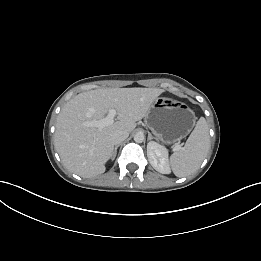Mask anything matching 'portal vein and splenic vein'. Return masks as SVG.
<instances>
[{"label":"portal vein and splenic vein","instance_id":"18ae733b","mask_svg":"<svg viewBox=\"0 0 261 261\" xmlns=\"http://www.w3.org/2000/svg\"><path fill=\"white\" fill-rule=\"evenodd\" d=\"M117 115V111L115 109H110L108 112V115L104 117L103 119L97 120V121H90V122H85V126H93L97 128H103L108 125H111L114 123V118ZM181 149V145H177L174 147L175 151H178Z\"/></svg>","mask_w":261,"mask_h":261}]
</instances>
